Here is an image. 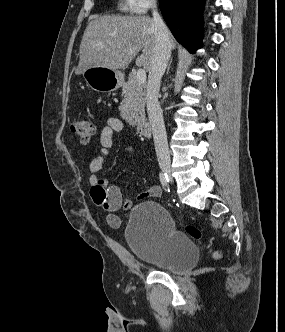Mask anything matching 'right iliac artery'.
Wrapping results in <instances>:
<instances>
[{
  "label": "right iliac artery",
  "mask_w": 285,
  "mask_h": 332,
  "mask_svg": "<svg viewBox=\"0 0 285 332\" xmlns=\"http://www.w3.org/2000/svg\"><path fill=\"white\" fill-rule=\"evenodd\" d=\"M159 178H160V182L163 186V188L169 192V179L166 173L160 172L159 173Z\"/></svg>",
  "instance_id": "obj_1"
}]
</instances>
